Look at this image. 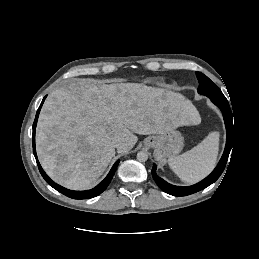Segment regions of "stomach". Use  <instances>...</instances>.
<instances>
[{"label":"stomach","mask_w":259,"mask_h":259,"mask_svg":"<svg viewBox=\"0 0 259 259\" xmlns=\"http://www.w3.org/2000/svg\"><path fill=\"white\" fill-rule=\"evenodd\" d=\"M144 144L154 149V158L157 161H164L182 151L184 138L179 131L171 129L163 134L147 137Z\"/></svg>","instance_id":"obj_1"}]
</instances>
